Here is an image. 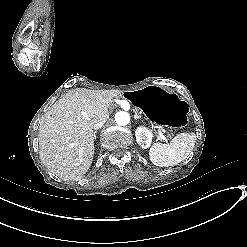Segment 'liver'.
I'll return each instance as SVG.
<instances>
[{
	"label": "liver",
	"instance_id": "obj_1",
	"mask_svg": "<svg viewBox=\"0 0 247 247\" xmlns=\"http://www.w3.org/2000/svg\"><path fill=\"white\" fill-rule=\"evenodd\" d=\"M111 103L103 91L76 88L42 116L39 157L50 173L64 181L82 178L94 157L93 125L109 118Z\"/></svg>",
	"mask_w": 247,
	"mask_h": 247
}]
</instances>
